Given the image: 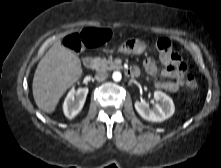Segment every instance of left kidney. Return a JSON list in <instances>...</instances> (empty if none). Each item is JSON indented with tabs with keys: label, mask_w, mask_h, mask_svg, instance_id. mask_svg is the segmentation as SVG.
<instances>
[{
	"label": "left kidney",
	"mask_w": 221,
	"mask_h": 168,
	"mask_svg": "<svg viewBox=\"0 0 221 168\" xmlns=\"http://www.w3.org/2000/svg\"><path fill=\"white\" fill-rule=\"evenodd\" d=\"M154 99L159 101V104L152 108L145 102H135V109L143 119L150 122H162L174 114V103L168 95L157 90L154 92Z\"/></svg>",
	"instance_id": "obj_1"
}]
</instances>
